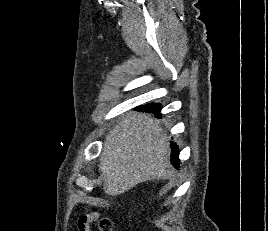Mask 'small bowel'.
<instances>
[{
  "label": "small bowel",
  "mask_w": 268,
  "mask_h": 231,
  "mask_svg": "<svg viewBox=\"0 0 268 231\" xmlns=\"http://www.w3.org/2000/svg\"><path fill=\"white\" fill-rule=\"evenodd\" d=\"M92 216L90 221H87V218ZM99 216L98 212H92L78 218L77 226L79 231H92L91 223L95 221Z\"/></svg>",
  "instance_id": "obj_1"
}]
</instances>
